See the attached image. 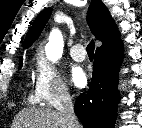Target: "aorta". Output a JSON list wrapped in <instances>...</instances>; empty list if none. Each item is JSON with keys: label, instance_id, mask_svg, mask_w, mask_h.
<instances>
[{"label": "aorta", "instance_id": "762f6f07", "mask_svg": "<svg viewBox=\"0 0 142 128\" xmlns=\"http://www.w3.org/2000/svg\"><path fill=\"white\" fill-rule=\"evenodd\" d=\"M64 48V41L61 32L58 29L51 31L49 41L45 46L47 57L52 61H56L61 57Z\"/></svg>", "mask_w": 142, "mask_h": 128}]
</instances>
